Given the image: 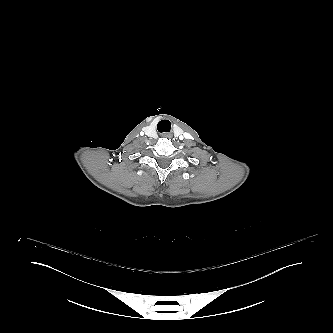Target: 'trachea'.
Instances as JSON below:
<instances>
[{
    "label": "trachea",
    "mask_w": 333,
    "mask_h": 333,
    "mask_svg": "<svg viewBox=\"0 0 333 333\" xmlns=\"http://www.w3.org/2000/svg\"><path fill=\"white\" fill-rule=\"evenodd\" d=\"M157 129L159 132H168L170 127L167 126L166 120H162L158 123Z\"/></svg>",
    "instance_id": "obj_1"
}]
</instances>
